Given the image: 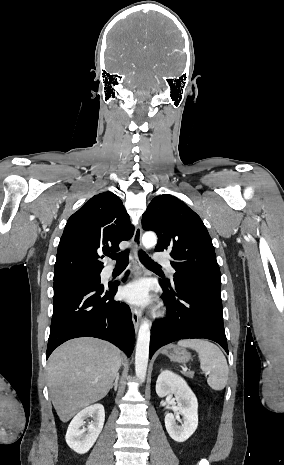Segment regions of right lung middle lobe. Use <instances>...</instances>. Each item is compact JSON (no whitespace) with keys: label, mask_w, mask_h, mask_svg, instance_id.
<instances>
[{"label":"right lung middle lobe","mask_w":284,"mask_h":465,"mask_svg":"<svg viewBox=\"0 0 284 465\" xmlns=\"http://www.w3.org/2000/svg\"><path fill=\"white\" fill-rule=\"evenodd\" d=\"M94 283H98V284L100 283V274L82 275V276H77V277H72V278L55 280L54 281V294L69 287H73L77 285H84V284H94Z\"/></svg>","instance_id":"dd1d6c3e"}]
</instances>
